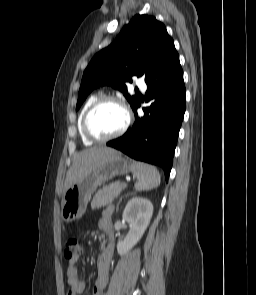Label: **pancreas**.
<instances>
[{
    "label": "pancreas",
    "mask_w": 256,
    "mask_h": 295,
    "mask_svg": "<svg viewBox=\"0 0 256 295\" xmlns=\"http://www.w3.org/2000/svg\"><path fill=\"white\" fill-rule=\"evenodd\" d=\"M125 188L126 185H124V182L120 181H116L107 186H104L102 189L98 190L93 197L91 208L95 210L111 204Z\"/></svg>",
    "instance_id": "obj_1"
}]
</instances>
